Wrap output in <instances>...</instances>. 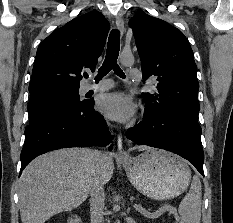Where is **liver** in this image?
<instances>
[{"mask_svg": "<svg viewBox=\"0 0 233 223\" xmlns=\"http://www.w3.org/2000/svg\"><path fill=\"white\" fill-rule=\"evenodd\" d=\"M134 149H151L135 145ZM92 149L68 147L35 157L18 181V197L22 223H45L60 211L79 207L89 195ZM115 165L107 155L102 167L103 183L113 177Z\"/></svg>", "mask_w": 233, "mask_h": 223, "instance_id": "liver-1", "label": "liver"}]
</instances>
